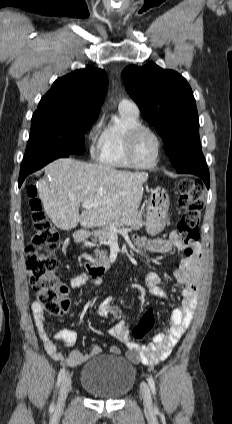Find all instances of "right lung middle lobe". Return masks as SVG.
<instances>
[{
  "label": "right lung middle lobe",
  "instance_id": "right-lung-middle-lobe-1",
  "mask_svg": "<svg viewBox=\"0 0 232 424\" xmlns=\"http://www.w3.org/2000/svg\"><path fill=\"white\" fill-rule=\"evenodd\" d=\"M96 119L76 108L36 110L22 165L53 153L83 154L85 131Z\"/></svg>",
  "mask_w": 232,
  "mask_h": 424
}]
</instances>
